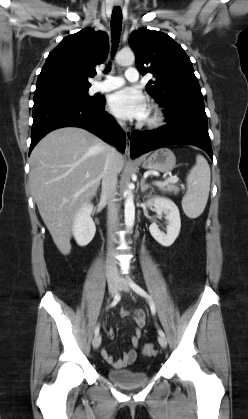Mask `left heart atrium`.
Listing matches in <instances>:
<instances>
[{
    "instance_id": "1",
    "label": "left heart atrium",
    "mask_w": 248,
    "mask_h": 419,
    "mask_svg": "<svg viewBox=\"0 0 248 419\" xmlns=\"http://www.w3.org/2000/svg\"><path fill=\"white\" fill-rule=\"evenodd\" d=\"M111 112L122 119L144 120L149 114L145 95L136 88H123L110 96Z\"/></svg>"
}]
</instances>
